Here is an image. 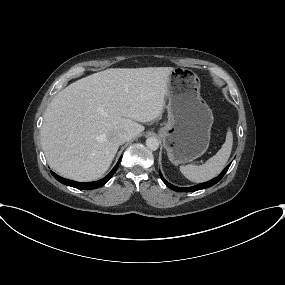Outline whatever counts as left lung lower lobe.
<instances>
[{
	"label": "left lung lower lobe",
	"instance_id": "0a47b994",
	"mask_svg": "<svg viewBox=\"0 0 285 285\" xmlns=\"http://www.w3.org/2000/svg\"><path fill=\"white\" fill-rule=\"evenodd\" d=\"M230 167V164L221 172L220 175H218L216 178L210 180V181H207L205 183H201V184H198V185H195V186H192V187H185V188H182V187H176L172 184H170L168 181H166L164 179V177L162 176V174L160 173V177L162 179V181L168 186L170 187L172 190L174 191H177V192H193V191H197V190H201V189H204V188H208V187H211L213 186L214 184H216L217 182H219L222 177L224 176V174L227 172L228 168Z\"/></svg>",
	"mask_w": 285,
	"mask_h": 285
}]
</instances>
